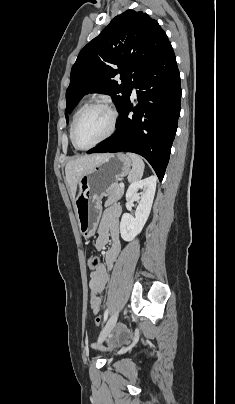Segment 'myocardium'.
<instances>
[{
    "label": "myocardium",
    "instance_id": "f54148a6",
    "mask_svg": "<svg viewBox=\"0 0 235 404\" xmlns=\"http://www.w3.org/2000/svg\"><path fill=\"white\" fill-rule=\"evenodd\" d=\"M98 107L105 108L106 110L109 111V113L111 115L110 128H109L108 132L101 139H99L97 142L93 143L90 146L82 147V146L78 145V143L76 142V139H75V132H76L77 125H78L80 119L82 118V116L86 112H88L89 110H91L93 108H98ZM117 120H118L117 109L111 103H109L107 101H94L92 103L87 104L78 113L77 117L74 120L72 129H71V134H70L72 144L74 145L75 148H77L79 150H89V149L94 148L95 146H97L98 144L104 142L105 140H107L108 138H110L113 135V133L115 132V129H116Z\"/></svg>",
    "mask_w": 235,
    "mask_h": 404
}]
</instances>
